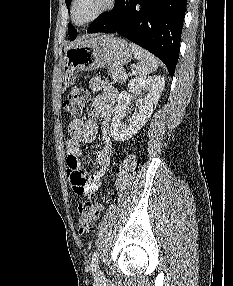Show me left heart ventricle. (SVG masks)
<instances>
[{"label": "left heart ventricle", "instance_id": "left-heart-ventricle-1", "mask_svg": "<svg viewBox=\"0 0 233 286\" xmlns=\"http://www.w3.org/2000/svg\"><path fill=\"white\" fill-rule=\"evenodd\" d=\"M107 0H78L75 7V20L82 23L96 15L105 5Z\"/></svg>", "mask_w": 233, "mask_h": 286}]
</instances>
